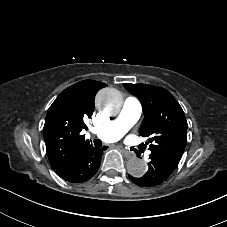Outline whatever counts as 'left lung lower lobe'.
Listing matches in <instances>:
<instances>
[{
	"label": "left lung lower lobe",
	"mask_w": 227,
	"mask_h": 227,
	"mask_svg": "<svg viewBox=\"0 0 227 227\" xmlns=\"http://www.w3.org/2000/svg\"><path fill=\"white\" fill-rule=\"evenodd\" d=\"M149 158L151 159L149 163V170L144 176L141 178H134L129 175L130 180L139 186L151 187L161 184L168 179L178 165L163 156L150 154Z\"/></svg>",
	"instance_id": "left-lung-lower-lobe-1"
}]
</instances>
